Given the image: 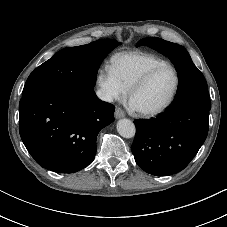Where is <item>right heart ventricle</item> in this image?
I'll list each match as a JSON object with an SVG mask.
<instances>
[{"instance_id": "obj_1", "label": "right heart ventricle", "mask_w": 227, "mask_h": 227, "mask_svg": "<svg viewBox=\"0 0 227 227\" xmlns=\"http://www.w3.org/2000/svg\"><path fill=\"white\" fill-rule=\"evenodd\" d=\"M166 63V60L151 53L126 52L114 56L111 67L121 84L128 90L147 71Z\"/></svg>"}]
</instances>
